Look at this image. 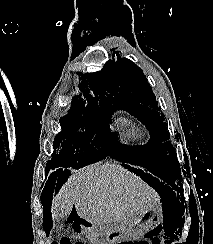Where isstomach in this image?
Wrapping results in <instances>:
<instances>
[{"instance_id":"1","label":"stomach","mask_w":213,"mask_h":244,"mask_svg":"<svg viewBox=\"0 0 213 244\" xmlns=\"http://www.w3.org/2000/svg\"><path fill=\"white\" fill-rule=\"evenodd\" d=\"M163 220L157 205L142 206L122 221L93 223V239L89 244H124V239L138 237L159 225Z\"/></svg>"}]
</instances>
